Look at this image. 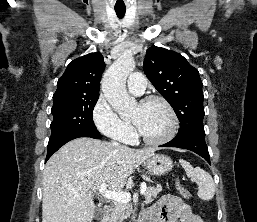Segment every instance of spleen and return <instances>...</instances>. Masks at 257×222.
Segmentation results:
<instances>
[{
  "mask_svg": "<svg viewBox=\"0 0 257 222\" xmlns=\"http://www.w3.org/2000/svg\"><path fill=\"white\" fill-rule=\"evenodd\" d=\"M180 163L187 176L198 185V197L205 201L211 200L215 194V184L211 175L200 167H192L188 161L183 159L180 160Z\"/></svg>",
  "mask_w": 257,
  "mask_h": 222,
  "instance_id": "obj_1",
  "label": "spleen"
}]
</instances>
